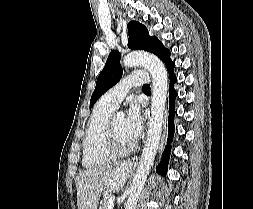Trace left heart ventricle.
I'll use <instances>...</instances> for the list:
<instances>
[{
  "label": "left heart ventricle",
  "mask_w": 253,
  "mask_h": 209,
  "mask_svg": "<svg viewBox=\"0 0 253 209\" xmlns=\"http://www.w3.org/2000/svg\"><path fill=\"white\" fill-rule=\"evenodd\" d=\"M116 144L119 148H127L134 142L129 138L125 128V118L116 116L113 123Z\"/></svg>",
  "instance_id": "left-heart-ventricle-1"
}]
</instances>
